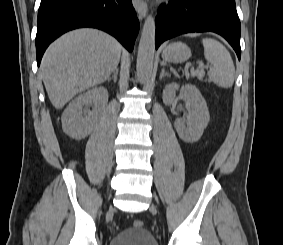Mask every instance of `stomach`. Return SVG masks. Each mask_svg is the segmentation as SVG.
I'll return each mask as SVG.
<instances>
[{"label": "stomach", "mask_w": 283, "mask_h": 245, "mask_svg": "<svg viewBox=\"0 0 283 245\" xmlns=\"http://www.w3.org/2000/svg\"><path fill=\"white\" fill-rule=\"evenodd\" d=\"M191 56L190 48L182 42L169 44L163 50L162 57L165 61L172 63H182L187 61Z\"/></svg>", "instance_id": "stomach-1"}]
</instances>
